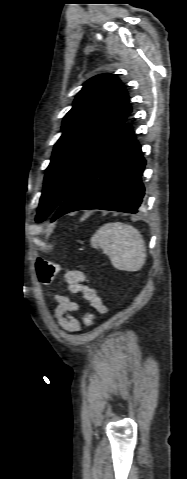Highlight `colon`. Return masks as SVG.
<instances>
[{"instance_id":"1","label":"colon","mask_w":187,"mask_h":479,"mask_svg":"<svg viewBox=\"0 0 187 479\" xmlns=\"http://www.w3.org/2000/svg\"><path fill=\"white\" fill-rule=\"evenodd\" d=\"M36 272L39 281L42 284H50L60 271V265L55 262L38 258L35 263ZM95 316L92 312L84 313L82 323L85 327H91L94 324Z\"/></svg>"}]
</instances>
